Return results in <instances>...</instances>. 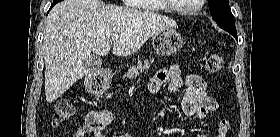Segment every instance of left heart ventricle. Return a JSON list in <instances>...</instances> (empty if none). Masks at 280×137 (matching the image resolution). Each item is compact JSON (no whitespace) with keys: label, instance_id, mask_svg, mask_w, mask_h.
Listing matches in <instances>:
<instances>
[{"label":"left heart ventricle","instance_id":"left-heart-ventricle-1","mask_svg":"<svg viewBox=\"0 0 280 137\" xmlns=\"http://www.w3.org/2000/svg\"><path fill=\"white\" fill-rule=\"evenodd\" d=\"M197 0H174L176 7L194 6Z\"/></svg>","mask_w":280,"mask_h":137}]
</instances>
